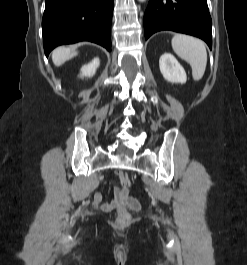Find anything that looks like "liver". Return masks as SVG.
<instances>
[{
  "mask_svg": "<svg viewBox=\"0 0 247 265\" xmlns=\"http://www.w3.org/2000/svg\"><path fill=\"white\" fill-rule=\"evenodd\" d=\"M75 55H77L76 51H71L66 47H58L52 52V60L56 66H60Z\"/></svg>",
  "mask_w": 247,
  "mask_h": 265,
  "instance_id": "6515ba94",
  "label": "liver"
}]
</instances>
